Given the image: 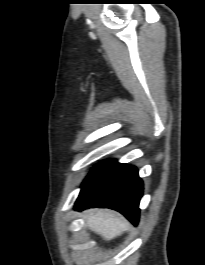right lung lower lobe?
I'll list each match as a JSON object with an SVG mask.
<instances>
[{
    "instance_id": "obj_1",
    "label": "right lung lower lobe",
    "mask_w": 205,
    "mask_h": 265,
    "mask_svg": "<svg viewBox=\"0 0 205 265\" xmlns=\"http://www.w3.org/2000/svg\"><path fill=\"white\" fill-rule=\"evenodd\" d=\"M142 193L143 183L136 167L112 160L96 165L90 172L81 186L74 209L110 208L137 224Z\"/></svg>"
}]
</instances>
